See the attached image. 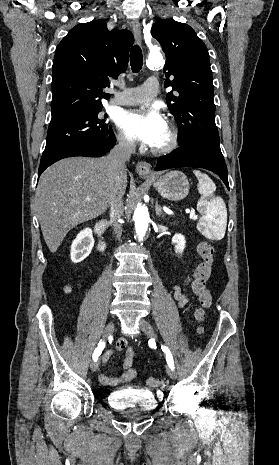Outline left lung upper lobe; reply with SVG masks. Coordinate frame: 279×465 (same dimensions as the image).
<instances>
[{"instance_id":"left-lung-upper-lobe-1","label":"left lung upper lobe","mask_w":279,"mask_h":465,"mask_svg":"<svg viewBox=\"0 0 279 465\" xmlns=\"http://www.w3.org/2000/svg\"><path fill=\"white\" fill-rule=\"evenodd\" d=\"M152 36L165 55L166 97L179 125V146H194L223 158L215 124L212 71L208 50L195 31L173 19L152 25Z\"/></svg>"}]
</instances>
